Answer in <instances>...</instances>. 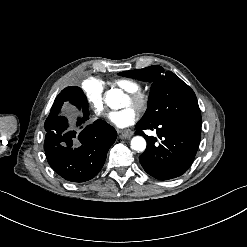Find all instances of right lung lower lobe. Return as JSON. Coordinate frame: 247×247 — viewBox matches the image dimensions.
<instances>
[{"label":"right lung lower lobe","instance_id":"obj_1","mask_svg":"<svg viewBox=\"0 0 247 247\" xmlns=\"http://www.w3.org/2000/svg\"><path fill=\"white\" fill-rule=\"evenodd\" d=\"M67 102L83 112L84 117L78 119L77 125L89 118L88 105L79 99L73 88L62 90L44 124V151L49 165L58 175L71 182H85L95 177L103 167L117 132L103 120L86 126L77 136L75 131L67 132V119L59 115ZM77 139L81 145L75 148L73 143Z\"/></svg>","mask_w":247,"mask_h":247}]
</instances>
